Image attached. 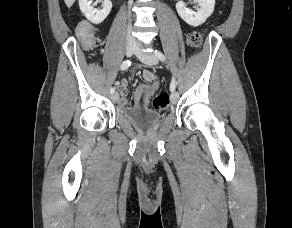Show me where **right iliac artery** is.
<instances>
[{
	"label": "right iliac artery",
	"instance_id": "1",
	"mask_svg": "<svg viewBox=\"0 0 292 228\" xmlns=\"http://www.w3.org/2000/svg\"><path fill=\"white\" fill-rule=\"evenodd\" d=\"M131 65V61L130 60H125L123 61V63L121 64V70H126L129 68V66ZM115 92V88H111L110 89V93L113 94Z\"/></svg>",
	"mask_w": 292,
	"mask_h": 228
}]
</instances>
